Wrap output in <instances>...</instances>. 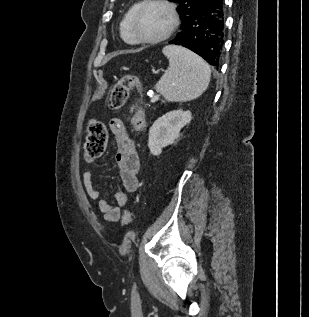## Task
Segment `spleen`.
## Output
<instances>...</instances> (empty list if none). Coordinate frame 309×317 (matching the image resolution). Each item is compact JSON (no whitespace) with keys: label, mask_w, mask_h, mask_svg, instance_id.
<instances>
[{"label":"spleen","mask_w":309,"mask_h":317,"mask_svg":"<svg viewBox=\"0 0 309 317\" xmlns=\"http://www.w3.org/2000/svg\"><path fill=\"white\" fill-rule=\"evenodd\" d=\"M169 67L155 85L168 102H186L200 97L207 89L210 66L192 51L176 45L165 46Z\"/></svg>","instance_id":"obj_1"}]
</instances>
